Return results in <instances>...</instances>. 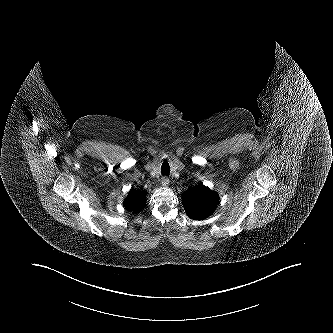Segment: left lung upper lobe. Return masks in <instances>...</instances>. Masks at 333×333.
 I'll return each mask as SVG.
<instances>
[{
    "label": "left lung upper lobe",
    "instance_id": "5c2ea615",
    "mask_svg": "<svg viewBox=\"0 0 333 333\" xmlns=\"http://www.w3.org/2000/svg\"><path fill=\"white\" fill-rule=\"evenodd\" d=\"M219 203V196L203 184L191 188L182 197L187 215L194 220L207 218Z\"/></svg>",
    "mask_w": 333,
    "mask_h": 333
}]
</instances>
